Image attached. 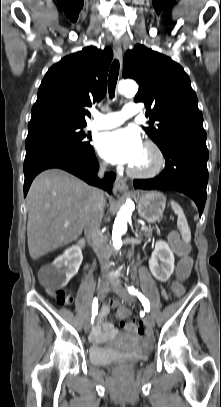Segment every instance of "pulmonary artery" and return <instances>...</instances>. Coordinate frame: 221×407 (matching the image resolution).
<instances>
[{
	"mask_svg": "<svg viewBox=\"0 0 221 407\" xmlns=\"http://www.w3.org/2000/svg\"><path fill=\"white\" fill-rule=\"evenodd\" d=\"M138 113V108L135 104H126L121 111L100 113L93 112L94 119L89 123L90 130L110 129L121 125L126 119L135 116Z\"/></svg>",
	"mask_w": 221,
	"mask_h": 407,
	"instance_id": "1",
	"label": "pulmonary artery"
}]
</instances>
